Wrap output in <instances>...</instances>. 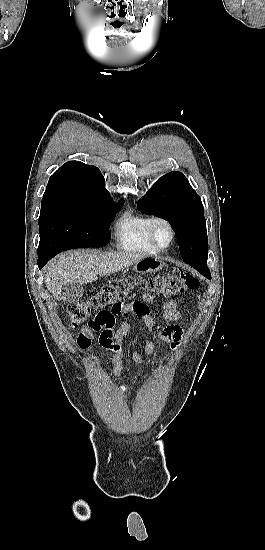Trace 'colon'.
Segmentation results:
<instances>
[{"mask_svg":"<svg viewBox=\"0 0 265 550\" xmlns=\"http://www.w3.org/2000/svg\"><path fill=\"white\" fill-rule=\"evenodd\" d=\"M199 286L198 278L180 268L150 277L124 276L102 286L95 294L71 303L67 308L69 325L72 329H77L87 323L94 331L104 330L111 333L116 318L124 313L127 305L125 299L134 290L172 297L196 290ZM132 306L139 316L146 311V305L141 301H135ZM94 310L99 312L92 317Z\"/></svg>","mask_w":265,"mask_h":550,"instance_id":"1","label":"colon"}]
</instances>
